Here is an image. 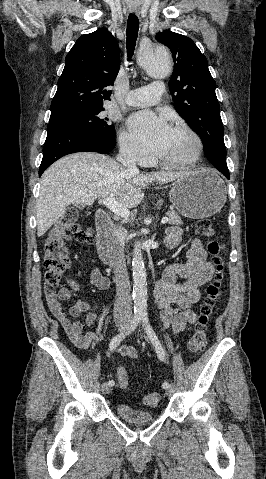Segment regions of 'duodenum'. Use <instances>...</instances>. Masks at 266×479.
<instances>
[{"instance_id": "duodenum-1", "label": "duodenum", "mask_w": 266, "mask_h": 479, "mask_svg": "<svg viewBox=\"0 0 266 479\" xmlns=\"http://www.w3.org/2000/svg\"><path fill=\"white\" fill-rule=\"evenodd\" d=\"M110 216L105 210H98L95 214V252L99 259L108 264L114 265V257L110 247L108 237V225L110 224Z\"/></svg>"}]
</instances>
